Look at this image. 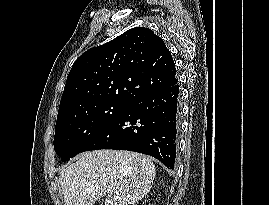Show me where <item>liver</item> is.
Returning a JSON list of instances; mask_svg holds the SVG:
<instances>
[{"label": "liver", "instance_id": "1", "mask_svg": "<svg viewBox=\"0 0 269 205\" xmlns=\"http://www.w3.org/2000/svg\"><path fill=\"white\" fill-rule=\"evenodd\" d=\"M156 175L146 156L123 150H94L59 174L65 205H94L108 189L104 205H134L151 190Z\"/></svg>", "mask_w": 269, "mask_h": 205}]
</instances>
